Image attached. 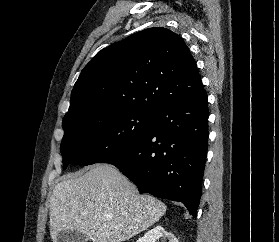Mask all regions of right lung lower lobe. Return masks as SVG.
Segmentation results:
<instances>
[{
    "instance_id": "right-lung-lower-lobe-1",
    "label": "right lung lower lobe",
    "mask_w": 279,
    "mask_h": 242,
    "mask_svg": "<svg viewBox=\"0 0 279 242\" xmlns=\"http://www.w3.org/2000/svg\"><path fill=\"white\" fill-rule=\"evenodd\" d=\"M208 116L203 90L158 109L143 139L99 163L116 166L141 193L182 202L196 217L208 148Z\"/></svg>"
}]
</instances>
